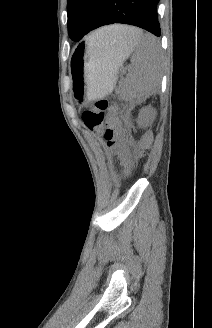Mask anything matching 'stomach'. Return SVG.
I'll return each instance as SVG.
<instances>
[{"mask_svg":"<svg viewBox=\"0 0 212 328\" xmlns=\"http://www.w3.org/2000/svg\"><path fill=\"white\" fill-rule=\"evenodd\" d=\"M137 41L116 47L93 48L87 41L74 50L71 59L74 89L82 98L96 99L114 87L123 60L134 50Z\"/></svg>","mask_w":212,"mask_h":328,"instance_id":"stomach-1","label":"stomach"}]
</instances>
